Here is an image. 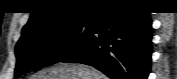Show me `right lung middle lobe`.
<instances>
[{
	"mask_svg": "<svg viewBox=\"0 0 177 79\" xmlns=\"http://www.w3.org/2000/svg\"><path fill=\"white\" fill-rule=\"evenodd\" d=\"M94 20H78L43 27L18 41L15 47V77L60 62L90 35Z\"/></svg>",
	"mask_w": 177,
	"mask_h": 79,
	"instance_id": "obj_1",
	"label": "right lung middle lobe"
}]
</instances>
